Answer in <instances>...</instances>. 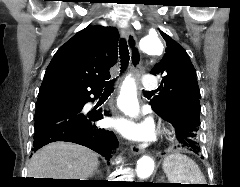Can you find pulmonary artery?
<instances>
[{
    "mask_svg": "<svg viewBox=\"0 0 240 187\" xmlns=\"http://www.w3.org/2000/svg\"><path fill=\"white\" fill-rule=\"evenodd\" d=\"M142 84L146 90L154 91L158 88V83L154 76L146 75L142 79Z\"/></svg>",
    "mask_w": 240,
    "mask_h": 187,
    "instance_id": "e3ab8cb5",
    "label": "pulmonary artery"
}]
</instances>
